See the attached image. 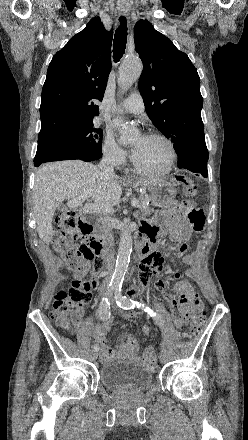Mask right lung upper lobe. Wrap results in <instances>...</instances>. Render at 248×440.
<instances>
[{
  "instance_id": "obj_1",
  "label": "right lung upper lobe",
  "mask_w": 248,
  "mask_h": 440,
  "mask_svg": "<svg viewBox=\"0 0 248 440\" xmlns=\"http://www.w3.org/2000/svg\"><path fill=\"white\" fill-rule=\"evenodd\" d=\"M112 31L99 17L73 36L48 67L40 107V133L93 122L111 71ZM39 133V134H40Z\"/></svg>"
}]
</instances>
